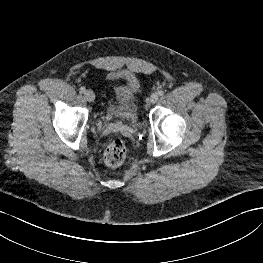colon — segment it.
Listing matches in <instances>:
<instances>
[{
	"label": "colon",
	"instance_id": "colon-1",
	"mask_svg": "<svg viewBox=\"0 0 263 263\" xmlns=\"http://www.w3.org/2000/svg\"><path fill=\"white\" fill-rule=\"evenodd\" d=\"M126 146L122 140L112 141L104 152V162L109 167L120 166L126 158Z\"/></svg>",
	"mask_w": 263,
	"mask_h": 263
}]
</instances>
